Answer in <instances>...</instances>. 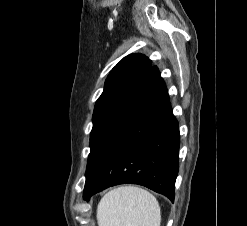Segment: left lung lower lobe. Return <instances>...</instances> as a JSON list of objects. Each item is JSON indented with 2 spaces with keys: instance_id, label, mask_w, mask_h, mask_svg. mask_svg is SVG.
Instances as JSON below:
<instances>
[{
  "instance_id": "left-lung-lower-lobe-1",
  "label": "left lung lower lobe",
  "mask_w": 247,
  "mask_h": 226,
  "mask_svg": "<svg viewBox=\"0 0 247 226\" xmlns=\"http://www.w3.org/2000/svg\"><path fill=\"white\" fill-rule=\"evenodd\" d=\"M178 155V122L166 85L152 66L92 145L83 198L133 183L173 201Z\"/></svg>"
}]
</instances>
